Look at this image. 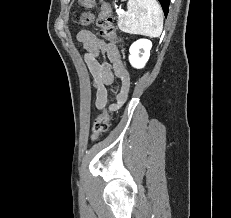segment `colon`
<instances>
[{
    "label": "colon",
    "instance_id": "1",
    "mask_svg": "<svg viewBox=\"0 0 231 218\" xmlns=\"http://www.w3.org/2000/svg\"><path fill=\"white\" fill-rule=\"evenodd\" d=\"M96 0H79L80 5L86 10L92 9ZM93 21V16L88 11L76 15V23L79 26H87ZM97 25L100 28L102 37L114 40L116 33L113 27V16L111 7L108 4H103L97 18ZM109 97L107 98V104ZM109 127V111L107 105L103 107L102 112L95 119L92 128V139L97 140L100 135L105 133Z\"/></svg>",
    "mask_w": 231,
    "mask_h": 218
}]
</instances>
